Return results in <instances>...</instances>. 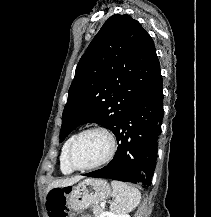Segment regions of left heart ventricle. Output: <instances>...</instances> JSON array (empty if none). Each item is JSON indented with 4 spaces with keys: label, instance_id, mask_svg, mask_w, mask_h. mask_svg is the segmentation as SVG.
Segmentation results:
<instances>
[{
    "label": "left heart ventricle",
    "instance_id": "obj_1",
    "mask_svg": "<svg viewBox=\"0 0 211 217\" xmlns=\"http://www.w3.org/2000/svg\"><path fill=\"white\" fill-rule=\"evenodd\" d=\"M110 143L101 132L83 135L73 150V161L78 166H88L101 161L108 154Z\"/></svg>",
    "mask_w": 211,
    "mask_h": 217
}]
</instances>
